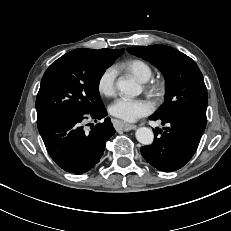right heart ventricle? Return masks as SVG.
Returning a JSON list of instances; mask_svg holds the SVG:
<instances>
[{
	"mask_svg": "<svg viewBox=\"0 0 231 231\" xmlns=\"http://www.w3.org/2000/svg\"><path fill=\"white\" fill-rule=\"evenodd\" d=\"M140 81L148 80L152 75L151 66L142 59H130L119 65Z\"/></svg>",
	"mask_w": 231,
	"mask_h": 231,
	"instance_id": "1",
	"label": "right heart ventricle"
}]
</instances>
